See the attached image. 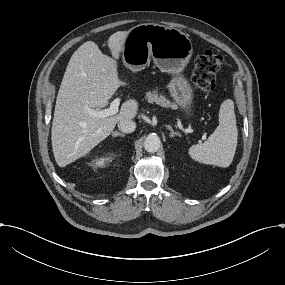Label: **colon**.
Masks as SVG:
<instances>
[{
  "mask_svg": "<svg viewBox=\"0 0 285 285\" xmlns=\"http://www.w3.org/2000/svg\"><path fill=\"white\" fill-rule=\"evenodd\" d=\"M224 62L221 55L210 50L203 52L195 60L192 81L203 93H211L216 86V73Z\"/></svg>",
  "mask_w": 285,
  "mask_h": 285,
  "instance_id": "1",
  "label": "colon"
}]
</instances>
